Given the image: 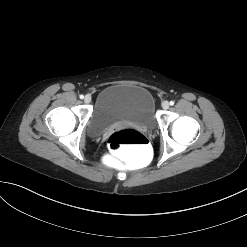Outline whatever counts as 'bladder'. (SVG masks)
I'll use <instances>...</instances> for the list:
<instances>
[{"label":"bladder","instance_id":"1","mask_svg":"<svg viewBox=\"0 0 247 247\" xmlns=\"http://www.w3.org/2000/svg\"><path fill=\"white\" fill-rule=\"evenodd\" d=\"M154 99L144 87L115 84L104 88L97 97L88 121V132L101 134L118 123H128L146 129L156 125Z\"/></svg>","mask_w":247,"mask_h":247}]
</instances>
